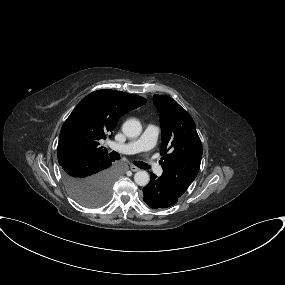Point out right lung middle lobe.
Segmentation results:
<instances>
[{"label": "right lung middle lobe", "mask_w": 285, "mask_h": 285, "mask_svg": "<svg viewBox=\"0 0 285 285\" xmlns=\"http://www.w3.org/2000/svg\"><path fill=\"white\" fill-rule=\"evenodd\" d=\"M66 187L71 196L86 207H99L104 205L110 195L112 182H84L82 180L66 181Z\"/></svg>", "instance_id": "obj_1"}]
</instances>
